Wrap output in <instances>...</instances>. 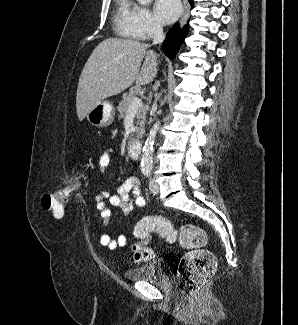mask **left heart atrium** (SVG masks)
Returning a JSON list of instances; mask_svg holds the SVG:
<instances>
[{
	"label": "left heart atrium",
	"instance_id": "1",
	"mask_svg": "<svg viewBox=\"0 0 298 325\" xmlns=\"http://www.w3.org/2000/svg\"><path fill=\"white\" fill-rule=\"evenodd\" d=\"M182 6L179 0H156L155 17L162 24H170L181 14Z\"/></svg>",
	"mask_w": 298,
	"mask_h": 325
}]
</instances>
